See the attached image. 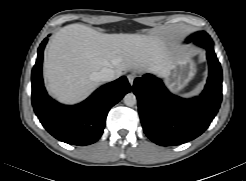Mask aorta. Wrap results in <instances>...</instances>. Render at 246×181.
Masks as SVG:
<instances>
[{
    "label": "aorta",
    "instance_id": "aorta-1",
    "mask_svg": "<svg viewBox=\"0 0 246 181\" xmlns=\"http://www.w3.org/2000/svg\"><path fill=\"white\" fill-rule=\"evenodd\" d=\"M123 101L126 106L132 107L136 105L137 98L133 93H128L124 96Z\"/></svg>",
    "mask_w": 246,
    "mask_h": 181
}]
</instances>
